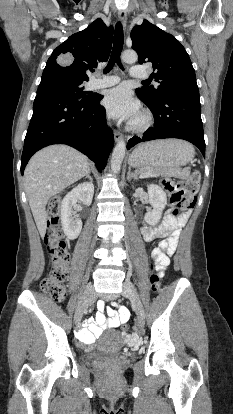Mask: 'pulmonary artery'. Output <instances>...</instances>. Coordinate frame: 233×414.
<instances>
[{
  "label": "pulmonary artery",
  "mask_w": 233,
  "mask_h": 414,
  "mask_svg": "<svg viewBox=\"0 0 233 414\" xmlns=\"http://www.w3.org/2000/svg\"><path fill=\"white\" fill-rule=\"evenodd\" d=\"M130 76L133 78H147L148 73L144 69L138 66H134L130 70ZM119 81L120 79L118 76H102L101 78L92 80L90 82V88L98 89L103 87H109L116 85L117 83H119Z\"/></svg>",
  "instance_id": "pulmonary-artery-1"
}]
</instances>
